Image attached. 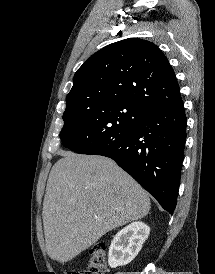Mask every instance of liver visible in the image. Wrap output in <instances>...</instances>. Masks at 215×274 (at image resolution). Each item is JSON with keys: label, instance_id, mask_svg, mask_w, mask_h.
Wrapping results in <instances>:
<instances>
[{"label": "liver", "instance_id": "6515ba94", "mask_svg": "<svg viewBox=\"0 0 215 274\" xmlns=\"http://www.w3.org/2000/svg\"><path fill=\"white\" fill-rule=\"evenodd\" d=\"M43 202L45 249L60 263L72 260L104 234L145 217V190L113 160L61 151Z\"/></svg>", "mask_w": 215, "mask_h": 274}]
</instances>
